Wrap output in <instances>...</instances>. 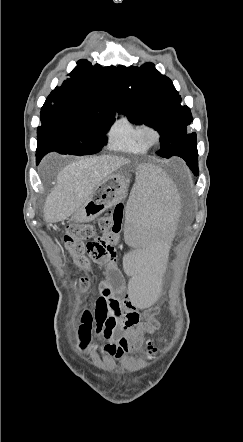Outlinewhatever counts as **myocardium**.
Here are the masks:
<instances>
[{
	"label": "myocardium",
	"mask_w": 243,
	"mask_h": 442,
	"mask_svg": "<svg viewBox=\"0 0 243 442\" xmlns=\"http://www.w3.org/2000/svg\"><path fill=\"white\" fill-rule=\"evenodd\" d=\"M149 133L154 134L155 136L154 140L151 141L148 139ZM140 138L147 147H152L160 143L162 139V133L161 130L156 125L151 123H145L142 125L140 130Z\"/></svg>",
	"instance_id": "1"
}]
</instances>
